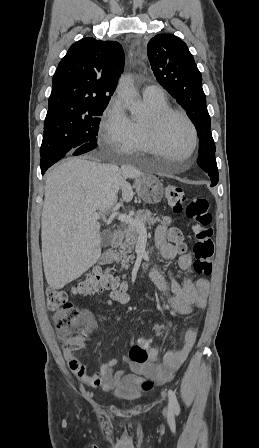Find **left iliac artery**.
Segmentation results:
<instances>
[{
	"label": "left iliac artery",
	"instance_id": "left-iliac-artery-1",
	"mask_svg": "<svg viewBox=\"0 0 259 448\" xmlns=\"http://www.w3.org/2000/svg\"><path fill=\"white\" fill-rule=\"evenodd\" d=\"M168 397H169V407L170 409H173L175 411V414L178 415L180 411V407L175 395V392L172 390L168 391Z\"/></svg>",
	"mask_w": 259,
	"mask_h": 448
}]
</instances>
